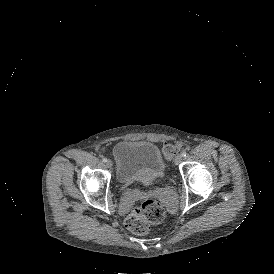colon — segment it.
I'll use <instances>...</instances> for the list:
<instances>
[{
	"instance_id": "obj_1",
	"label": "colon",
	"mask_w": 274,
	"mask_h": 274,
	"mask_svg": "<svg viewBox=\"0 0 274 274\" xmlns=\"http://www.w3.org/2000/svg\"><path fill=\"white\" fill-rule=\"evenodd\" d=\"M177 147L180 150H187L190 147V140L187 137H180L177 140ZM173 142H165L162 145V152L168 158H175L178 155V148ZM166 210L163 205L152 199H144L139 206L125 219V227L135 235H144L151 225L159 224L166 218Z\"/></svg>"
}]
</instances>
